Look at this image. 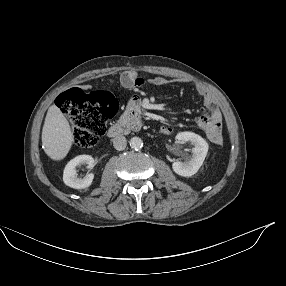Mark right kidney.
<instances>
[{
  "instance_id": "1",
  "label": "right kidney",
  "mask_w": 286,
  "mask_h": 286,
  "mask_svg": "<svg viewBox=\"0 0 286 286\" xmlns=\"http://www.w3.org/2000/svg\"><path fill=\"white\" fill-rule=\"evenodd\" d=\"M87 165L89 169L95 166L94 159L90 155H79L70 160L63 172L64 183L75 189H85L92 184L94 175L92 173L86 174L83 178L76 175V167Z\"/></svg>"
}]
</instances>
